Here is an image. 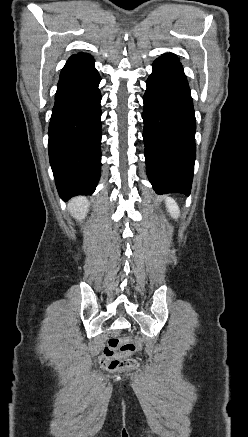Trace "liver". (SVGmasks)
<instances>
[{"label":"liver","instance_id":"1","mask_svg":"<svg viewBox=\"0 0 248 437\" xmlns=\"http://www.w3.org/2000/svg\"><path fill=\"white\" fill-rule=\"evenodd\" d=\"M89 203L83 197H76L69 201L68 211L77 220H82L85 218L88 212Z\"/></svg>","mask_w":248,"mask_h":437}]
</instances>
